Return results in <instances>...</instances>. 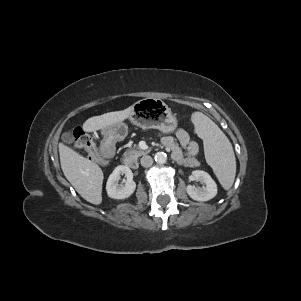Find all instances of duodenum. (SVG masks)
I'll return each instance as SVG.
<instances>
[{
  "instance_id": "410a0bca",
  "label": "duodenum",
  "mask_w": 301,
  "mask_h": 301,
  "mask_svg": "<svg viewBox=\"0 0 301 301\" xmlns=\"http://www.w3.org/2000/svg\"><path fill=\"white\" fill-rule=\"evenodd\" d=\"M99 156L104 161H107V162L114 161L117 157L115 143L111 140L104 141L99 150ZM125 165H126V167L131 168V169L136 168V162L132 159H127L125 161Z\"/></svg>"
}]
</instances>
